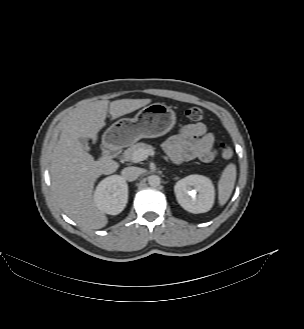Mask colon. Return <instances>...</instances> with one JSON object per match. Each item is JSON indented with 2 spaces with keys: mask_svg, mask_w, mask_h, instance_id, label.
<instances>
[{
  "mask_svg": "<svg viewBox=\"0 0 304 329\" xmlns=\"http://www.w3.org/2000/svg\"><path fill=\"white\" fill-rule=\"evenodd\" d=\"M186 116L191 121L198 122V121H201L203 119L204 114H203V111H202L201 108H199V107H190L186 111ZM219 148H220L221 156H222L223 159L229 160V159L232 158L233 150H232V148L229 144L221 142L219 144Z\"/></svg>",
  "mask_w": 304,
  "mask_h": 329,
  "instance_id": "5ec220e1",
  "label": "colon"
}]
</instances>
